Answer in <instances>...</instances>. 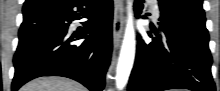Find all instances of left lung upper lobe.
Instances as JSON below:
<instances>
[{"instance_id": "5c2ea615", "label": "left lung upper lobe", "mask_w": 220, "mask_h": 91, "mask_svg": "<svg viewBox=\"0 0 220 91\" xmlns=\"http://www.w3.org/2000/svg\"><path fill=\"white\" fill-rule=\"evenodd\" d=\"M159 2L172 4L176 7L204 15L203 0H159Z\"/></svg>"}]
</instances>
